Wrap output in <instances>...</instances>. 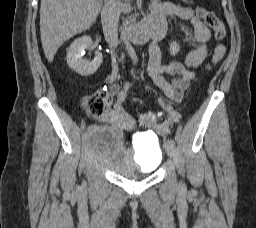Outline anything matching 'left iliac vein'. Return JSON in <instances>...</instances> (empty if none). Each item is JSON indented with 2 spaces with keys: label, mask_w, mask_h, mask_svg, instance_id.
Here are the masks:
<instances>
[{
  "label": "left iliac vein",
  "mask_w": 256,
  "mask_h": 228,
  "mask_svg": "<svg viewBox=\"0 0 256 228\" xmlns=\"http://www.w3.org/2000/svg\"><path fill=\"white\" fill-rule=\"evenodd\" d=\"M165 150H166V153L168 154L169 157H173L174 156V145L166 142Z\"/></svg>",
  "instance_id": "1"
}]
</instances>
